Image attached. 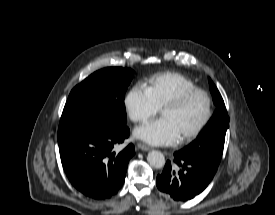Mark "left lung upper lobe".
I'll use <instances>...</instances> for the list:
<instances>
[{
	"instance_id": "left-lung-upper-lobe-1",
	"label": "left lung upper lobe",
	"mask_w": 275,
	"mask_h": 215,
	"mask_svg": "<svg viewBox=\"0 0 275 215\" xmlns=\"http://www.w3.org/2000/svg\"><path fill=\"white\" fill-rule=\"evenodd\" d=\"M209 83L213 102L216 106L214 115L196 139L180 150V152L218 166L222 157L225 134L229 127L230 119L224 101L210 78Z\"/></svg>"
}]
</instances>
